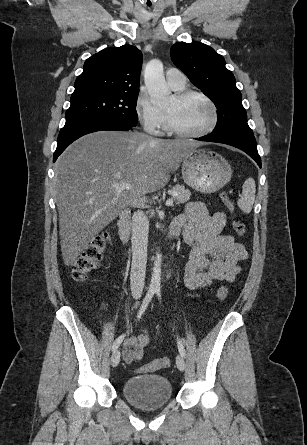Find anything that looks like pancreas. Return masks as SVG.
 Returning <instances> with one entry per match:
<instances>
[{
    "label": "pancreas",
    "mask_w": 307,
    "mask_h": 445,
    "mask_svg": "<svg viewBox=\"0 0 307 445\" xmlns=\"http://www.w3.org/2000/svg\"><path fill=\"white\" fill-rule=\"evenodd\" d=\"M171 190L173 192H178V196H172L174 200H176V204H180V202H187L190 198V190L188 188H185L183 184H175V186H172ZM149 212V216H154V210H147Z\"/></svg>",
    "instance_id": "pancreas-1"
}]
</instances>
